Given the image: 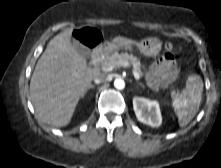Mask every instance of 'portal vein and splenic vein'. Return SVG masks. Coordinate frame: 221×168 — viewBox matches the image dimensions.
<instances>
[{
  "label": "portal vein and splenic vein",
  "mask_w": 221,
  "mask_h": 168,
  "mask_svg": "<svg viewBox=\"0 0 221 168\" xmlns=\"http://www.w3.org/2000/svg\"><path fill=\"white\" fill-rule=\"evenodd\" d=\"M115 66L130 67V64H129L128 62H122V61H120V62H117L116 65L102 66V70H103L104 72H110V71H112V70L115 68ZM132 73H133V76H134V78H135L136 80H139V79H140L139 74H138L135 70H133Z\"/></svg>",
  "instance_id": "1"
}]
</instances>
